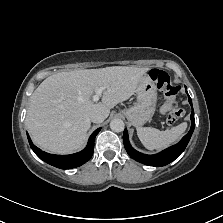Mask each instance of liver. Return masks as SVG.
<instances>
[{
    "label": "liver",
    "mask_w": 223,
    "mask_h": 223,
    "mask_svg": "<svg viewBox=\"0 0 223 223\" xmlns=\"http://www.w3.org/2000/svg\"><path fill=\"white\" fill-rule=\"evenodd\" d=\"M149 68L114 66L61 72L47 77L32 93L25 123L33 143L59 155L80 150L91 127L90 114L108 117L110 109L126 100ZM102 102L89 100L101 93Z\"/></svg>",
    "instance_id": "1"
}]
</instances>
